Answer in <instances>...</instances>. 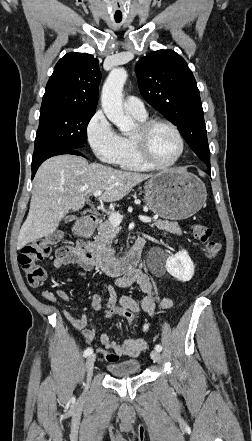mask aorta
<instances>
[{"mask_svg": "<svg viewBox=\"0 0 252 441\" xmlns=\"http://www.w3.org/2000/svg\"><path fill=\"white\" fill-rule=\"evenodd\" d=\"M126 80L127 72L124 68L111 70L103 85L101 95L105 115L123 133L130 132L134 127L133 120L125 115L123 110L122 91Z\"/></svg>", "mask_w": 252, "mask_h": 441, "instance_id": "1", "label": "aorta"}]
</instances>
